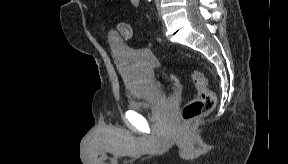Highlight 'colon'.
Segmentation results:
<instances>
[{"label": "colon", "instance_id": "obj_1", "mask_svg": "<svg viewBox=\"0 0 288 164\" xmlns=\"http://www.w3.org/2000/svg\"><path fill=\"white\" fill-rule=\"evenodd\" d=\"M118 30L124 38H132V30L128 22L120 21ZM189 77L197 90V95L183 106L182 120H195V118L210 113L214 109L216 102L215 94L210 89L206 76L197 70H192L189 72Z\"/></svg>", "mask_w": 288, "mask_h": 164}]
</instances>
